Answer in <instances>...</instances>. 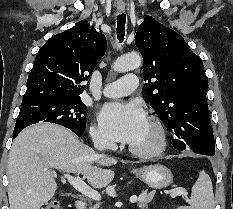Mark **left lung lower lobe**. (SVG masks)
I'll return each instance as SVG.
<instances>
[{"mask_svg": "<svg viewBox=\"0 0 233 209\" xmlns=\"http://www.w3.org/2000/svg\"><path fill=\"white\" fill-rule=\"evenodd\" d=\"M175 142H178L177 139H172V145L179 151L189 150L188 148H182L180 145L175 144Z\"/></svg>", "mask_w": 233, "mask_h": 209, "instance_id": "left-lung-lower-lobe-1", "label": "left lung lower lobe"}]
</instances>
